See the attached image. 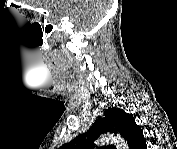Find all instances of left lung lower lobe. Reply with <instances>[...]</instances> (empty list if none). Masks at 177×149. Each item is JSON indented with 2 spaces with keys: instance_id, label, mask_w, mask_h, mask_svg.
<instances>
[{
  "instance_id": "1",
  "label": "left lung lower lobe",
  "mask_w": 177,
  "mask_h": 149,
  "mask_svg": "<svg viewBox=\"0 0 177 149\" xmlns=\"http://www.w3.org/2000/svg\"><path fill=\"white\" fill-rule=\"evenodd\" d=\"M140 147L146 149V141H145V139H142V144L140 145Z\"/></svg>"
}]
</instances>
